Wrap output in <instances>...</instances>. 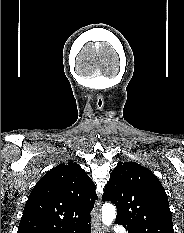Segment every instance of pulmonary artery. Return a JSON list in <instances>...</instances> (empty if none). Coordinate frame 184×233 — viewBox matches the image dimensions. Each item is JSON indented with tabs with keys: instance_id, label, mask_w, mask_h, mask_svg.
I'll return each instance as SVG.
<instances>
[{
	"instance_id": "obj_1",
	"label": "pulmonary artery",
	"mask_w": 184,
	"mask_h": 233,
	"mask_svg": "<svg viewBox=\"0 0 184 233\" xmlns=\"http://www.w3.org/2000/svg\"><path fill=\"white\" fill-rule=\"evenodd\" d=\"M114 231L115 233H127L126 229L121 226L116 227Z\"/></svg>"
}]
</instances>
